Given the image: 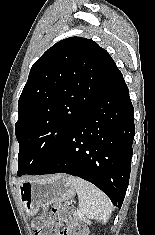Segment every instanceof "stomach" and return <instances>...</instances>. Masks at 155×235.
<instances>
[{"label":"stomach","instance_id":"1","mask_svg":"<svg viewBox=\"0 0 155 235\" xmlns=\"http://www.w3.org/2000/svg\"><path fill=\"white\" fill-rule=\"evenodd\" d=\"M74 195L75 188L65 175L29 180L19 184V199L28 215L36 214L40 206L69 200Z\"/></svg>","mask_w":155,"mask_h":235}]
</instances>
